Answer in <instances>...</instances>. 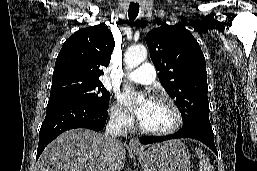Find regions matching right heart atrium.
Here are the masks:
<instances>
[{"label":"right heart atrium","instance_id":"1","mask_svg":"<svg viewBox=\"0 0 257 171\" xmlns=\"http://www.w3.org/2000/svg\"><path fill=\"white\" fill-rule=\"evenodd\" d=\"M109 115L111 121L120 128H129L132 124L131 116L117 101L111 105Z\"/></svg>","mask_w":257,"mask_h":171}]
</instances>
